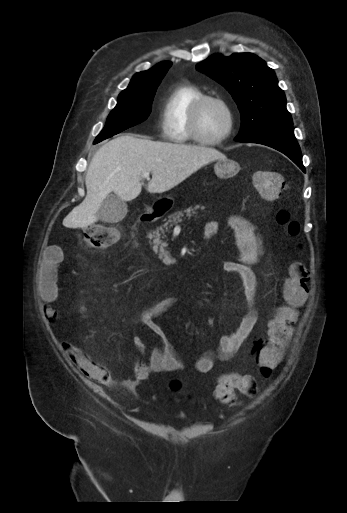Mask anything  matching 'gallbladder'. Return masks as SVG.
<instances>
[{
  "label": "gallbladder",
  "instance_id": "gallbladder-1",
  "mask_svg": "<svg viewBox=\"0 0 347 513\" xmlns=\"http://www.w3.org/2000/svg\"><path fill=\"white\" fill-rule=\"evenodd\" d=\"M127 211V205L123 200L114 194H109L101 203L97 217L103 222L117 223L125 218Z\"/></svg>",
  "mask_w": 347,
  "mask_h": 513
}]
</instances>
